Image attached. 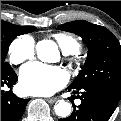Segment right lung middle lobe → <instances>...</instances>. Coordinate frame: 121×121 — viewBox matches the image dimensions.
Returning a JSON list of instances; mask_svg holds the SVG:
<instances>
[{"label":"right lung middle lobe","mask_w":121,"mask_h":121,"mask_svg":"<svg viewBox=\"0 0 121 121\" xmlns=\"http://www.w3.org/2000/svg\"><path fill=\"white\" fill-rule=\"evenodd\" d=\"M34 30L35 27L17 26L1 20V69L11 68V66L4 60L12 40L18 35L30 33Z\"/></svg>","instance_id":"obj_1"}]
</instances>
